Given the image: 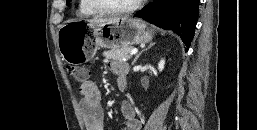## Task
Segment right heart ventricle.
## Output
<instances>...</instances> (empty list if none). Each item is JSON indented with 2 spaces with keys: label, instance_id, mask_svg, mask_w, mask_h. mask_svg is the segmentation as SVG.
<instances>
[{
  "label": "right heart ventricle",
  "instance_id": "1",
  "mask_svg": "<svg viewBox=\"0 0 257 130\" xmlns=\"http://www.w3.org/2000/svg\"><path fill=\"white\" fill-rule=\"evenodd\" d=\"M77 12L81 16H93L96 14L92 9H90L86 3V0L78 1V9Z\"/></svg>",
  "mask_w": 257,
  "mask_h": 130
}]
</instances>
